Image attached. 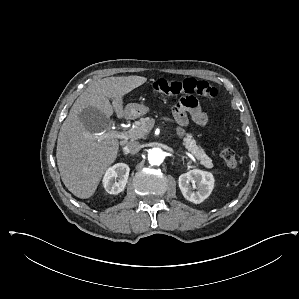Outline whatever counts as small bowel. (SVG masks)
<instances>
[{"label": "small bowel", "mask_w": 299, "mask_h": 299, "mask_svg": "<svg viewBox=\"0 0 299 299\" xmlns=\"http://www.w3.org/2000/svg\"><path fill=\"white\" fill-rule=\"evenodd\" d=\"M173 117L179 125L177 134L179 137L185 136L184 126L188 124V114L198 125H205L208 122V114L198 100L194 97L181 98L172 109Z\"/></svg>", "instance_id": "obj_1"}]
</instances>
